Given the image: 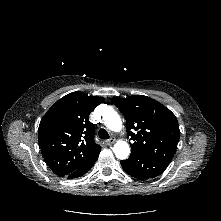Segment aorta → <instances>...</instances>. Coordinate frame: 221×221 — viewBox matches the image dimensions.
<instances>
[{
    "instance_id": "762f6f07",
    "label": "aorta",
    "mask_w": 221,
    "mask_h": 221,
    "mask_svg": "<svg viewBox=\"0 0 221 221\" xmlns=\"http://www.w3.org/2000/svg\"><path fill=\"white\" fill-rule=\"evenodd\" d=\"M106 126L114 132H119L122 129V121L119 114L113 110L108 109L103 115ZM113 152L118 159H126L130 153V147L125 141H117L113 146Z\"/></svg>"
}]
</instances>
